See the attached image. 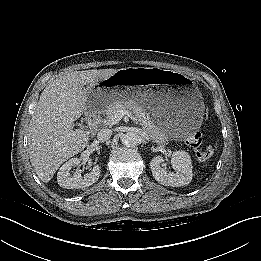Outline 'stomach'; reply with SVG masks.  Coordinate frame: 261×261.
Returning <instances> with one entry per match:
<instances>
[{
    "label": "stomach",
    "instance_id": "stomach-1",
    "mask_svg": "<svg viewBox=\"0 0 261 261\" xmlns=\"http://www.w3.org/2000/svg\"><path fill=\"white\" fill-rule=\"evenodd\" d=\"M110 80L115 82L93 88L87 100L89 108L103 110L115 101L134 100L149 111L155 125L171 139H186L199 129L202 95L180 74L157 68H126L107 82Z\"/></svg>",
    "mask_w": 261,
    "mask_h": 261
}]
</instances>
